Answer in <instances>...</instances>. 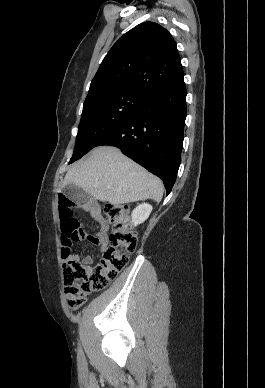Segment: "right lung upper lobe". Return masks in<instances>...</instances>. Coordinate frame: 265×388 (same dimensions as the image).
Listing matches in <instances>:
<instances>
[{"label": "right lung upper lobe", "instance_id": "1", "mask_svg": "<svg viewBox=\"0 0 265 388\" xmlns=\"http://www.w3.org/2000/svg\"><path fill=\"white\" fill-rule=\"evenodd\" d=\"M184 78L176 42L154 22H144L113 45L93 78L88 95L124 91L141 96Z\"/></svg>", "mask_w": 265, "mask_h": 388}]
</instances>
